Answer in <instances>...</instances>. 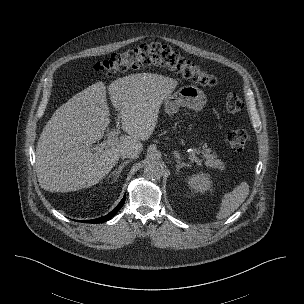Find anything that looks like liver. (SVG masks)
<instances>
[{"label": "liver", "mask_w": 304, "mask_h": 304, "mask_svg": "<svg viewBox=\"0 0 304 304\" xmlns=\"http://www.w3.org/2000/svg\"><path fill=\"white\" fill-rule=\"evenodd\" d=\"M178 85L170 77L138 73L108 86L118 111L122 135L111 147L95 150L110 124L104 82H96L60 106L47 122L36 148L39 185L50 192H70L97 184L116 165L122 152L137 150L152 135L163 101Z\"/></svg>", "instance_id": "liver-1"}]
</instances>
